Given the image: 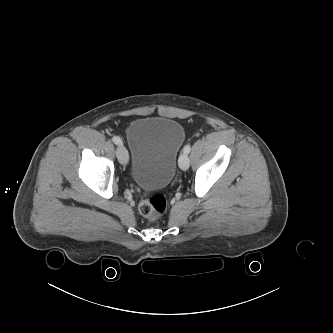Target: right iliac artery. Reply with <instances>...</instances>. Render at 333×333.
I'll list each match as a JSON object with an SVG mask.
<instances>
[{
  "instance_id": "obj_1",
  "label": "right iliac artery",
  "mask_w": 333,
  "mask_h": 333,
  "mask_svg": "<svg viewBox=\"0 0 333 333\" xmlns=\"http://www.w3.org/2000/svg\"><path fill=\"white\" fill-rule=\"evenodd\" d=\"M112 141H113L116 145H122V140H121L119 137H117V136H114V137L112 138Z\"/></svg>"
}]
</instances>
